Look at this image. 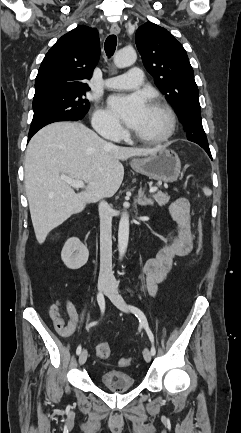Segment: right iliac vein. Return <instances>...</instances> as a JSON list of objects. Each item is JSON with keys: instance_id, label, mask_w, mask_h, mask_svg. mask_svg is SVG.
<instances>
[{"instance_id": "right-iliac-vein-1", "label": "right iliac vein", "mask_w": 241, "mask_h": 433, "mask_svg": "<svg viewBox=\"0 0 241 433\" xmlns=\"http://www.w3.org/2000/svg\"><path fill=\"white\" fill-rule=\"evenodd\" d=\"M108 285H109V283L105 280L99 281L98 282V290L100 292H102V291L107 289ZM87 356H88L87 350H83L80 353V355H79V364L80 365H83L86 362Z\"/></svg>"}]
</instances>
